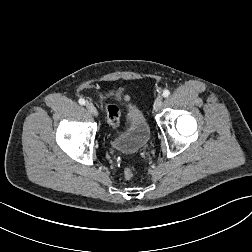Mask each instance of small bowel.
Instances as JSON below:
<instances>
[{"label":"small bowel","instance_id":"small-bowel-1","mask_svg":"<svg viewBox=\"0 0 252 252\" xmlns=\"http://www.w3.org/2000/svg\"><path fill=\"white\" fill-rule=\"evenodd\" d=\"M124 99H125V100H129L130 97H129L128 95H126V96L124 97Z\"/></svg>","mask_w":252,"mask_h":252}]
</instances>
